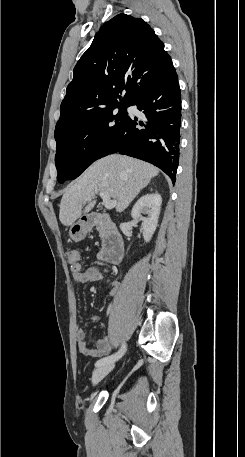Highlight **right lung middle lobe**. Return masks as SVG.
<instances>
[{"label": "right lung middle lobe", "instance_id": "obj_1", "mask_svg": "<svg viewBox=\"0 0 245 457\" xmlns=\"http://www.w3.org/2000/svg\"><path fill=\"white\" fill-rule=\"evenodd\" d=\"M128 106L129 101L113 102L56 127L59 183L77 178L95 160L110 154Z\"/></svg>", "mask_w": 245, "mask_h": 457}]
</instances>
